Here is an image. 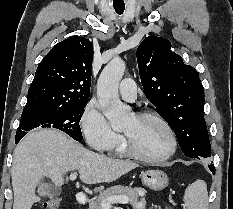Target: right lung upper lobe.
<instances>
[{"instance_id":"obj_1","label":"right lung upper lobe","mask_w":233,"mask_h":209,"mask_svg":"<svg viewBox=\"0 0 233 209\" xmlns=\"http://www.w3.org/2000/svg\"><path fill=\"white\" fill-rule=\"evenodd\" d=\"M93 45L71 36L58 44L38 65L26 105L88 102Z\"/></svg>"}]
</instances>
